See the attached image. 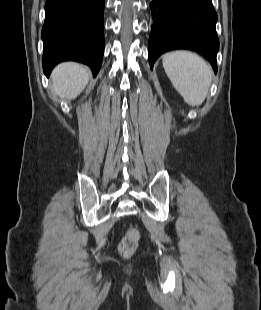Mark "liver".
<instances>
[{
  "label": "liver",
  "mask_w": 261,
  "mask_h": 310,
  "mask_svg": "<svg viewBox=\"0 0 261 310\" xmlns=\"http://www.w3.org/2000/svg\"><path fill=\"white\" fill-rule=\"evenodd\" d=\"M89 78L87 67L74 62L62 63L52 73V89L61 98L72 100L83 91Z\"/></svg>",
  "instance_id": "1"
}]
</instances>
